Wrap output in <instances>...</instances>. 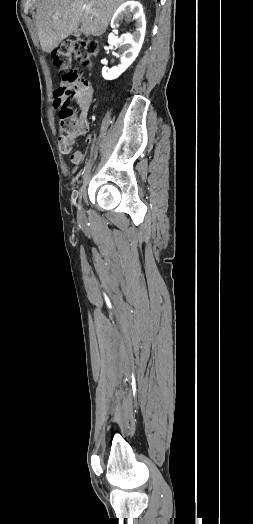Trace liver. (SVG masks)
<instances>
[{"label": "liver", "mask_w": 253, "mask_h": 524, "mask_svg": "<svg viewBox=\"0 0 253 524\" xmlns=\"http://www.w3.org/2000/svg\"><path fill=\"white\" fill-rule=\"evenodd\" d=\"M126 0H38L36 26L41 48L50 53L61 41L78 30L86 37L101 36L117 10ZM91 6L86 13L84 6Z\"/></svg>", "instance_id": "6515ba94"}]
</instances>
